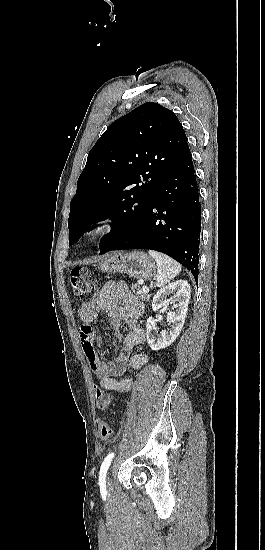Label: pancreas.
<instances>
[{
	"instance_id": "obj_1",
	"label": "pancreas",
	"mask_w": 265,
	"mask_h": 550,
	"mask_svg": "<svg viewBox=\"0 0 265 550\" xmlns=\"http://www.w3.org/2000/svg\"><path fill=\"white\" fill-rule=\"evenodd\" d=\"M131 289L139 299L143 301H149L151 296L148 293H144L142 288H140L137 284L132 285Z\"/></svg>"
}]
</instances>
